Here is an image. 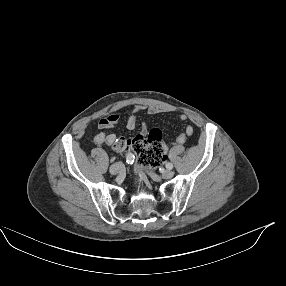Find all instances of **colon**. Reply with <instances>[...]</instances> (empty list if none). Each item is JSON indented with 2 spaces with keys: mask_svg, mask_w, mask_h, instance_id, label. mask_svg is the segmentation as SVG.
<instances>
[{
  "mask_svg": "<svg viewBox=\"0 0 286 286\" xmlns=\"http://www.w3.org/2000/svg\"><path fill=\"white\" fill-rule=\"evenodd\" d=\"M113 147L118 150H132L141 167L153 168L165 159L163 134L159 128H152L146 136L137 135L132 139L116 138Z\"/></svg>",
  "mask_w": 286,
  "mask_h": 286,
  "instance_id": "5ec220e1",
  "label": "colon"
}]
</instances>
